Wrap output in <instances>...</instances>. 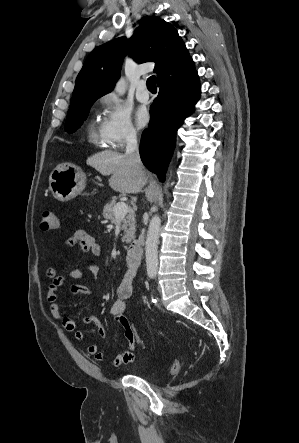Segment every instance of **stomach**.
Returning a JSON list of instances; mask_svg holds the SVG:
<instances>
[{"instance_id": "stomach-1", "label": "stomach", "mask_w": 299, "mask_h": 443, "mask_svg": "<svg viewBox=\"0 0 299 443\" xmlns=\"http://www.w3.org/2000/svg\"><path fill=\"white\" fill-rule=\"evenodd\" d=\"M85 185V173L73 164L59 165L49 176V189L60 202L75 198L84 190Z\"/></svg>"}]
</instances>
